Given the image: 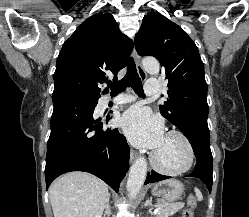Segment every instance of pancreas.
Listing matches in <instances>:
<instances>
[{"label":"pancreas","mask_w":249,"mask_h":217,"mask_svg":"<svg viewBox=\"0 0 249 217\" xmlns=\"http://www.w3.org/2000/svg\"><path fill=\"white\" fill-rule=\"evenodd\" d=\"M156 207L160 208L157 217H169L174 215L180 209H182L184 207V203L183 202L168 203L164 200H159L156 203Z\"/></svg>","instance_id":"1"}]
</instances>
